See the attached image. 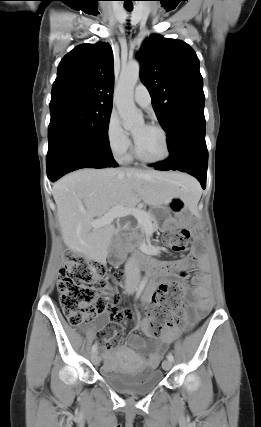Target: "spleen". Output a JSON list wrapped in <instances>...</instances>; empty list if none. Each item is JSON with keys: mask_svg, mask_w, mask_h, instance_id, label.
I'll return each instance as SVG.
<instances>
[{"mask_svg": "<svg viewBox=\"0 0 261 427\" xmlns=\"http://www.w3.org/2000/svg\"><path fill=\"white\" fill-rule=\"evenodd\" d=\"M187 193L191 198V204L196 205L201 196V189L198 183H193L189 186Z\"/></svg>", "mask_w": 261, "mask_h": 427, "instance_id": "spleen-1", "label": "spleen"}]
</instances>
